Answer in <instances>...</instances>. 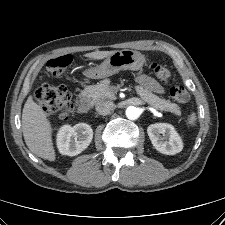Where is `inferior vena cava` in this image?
Here are the masks:
<instances>
[{
    "label": "inferior vena cava",
    "mask_w": 225,
    "mask_h": 225,
    "mask_svg": "<svg viewBox=\"0 0 225 225\" xmlns=\"http://www.w3.org/2000/svg\"><path fill=\"white\" fill-rule=\"evenodd\" d=\"M115 109V105L111 101L102 100L96 103V111L100 115H108Z\"/></svg>",
    "instance_id": "inferior-vena-cava-1"
}]
</instances>
